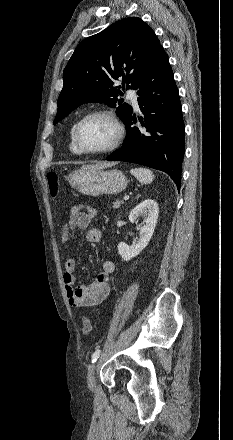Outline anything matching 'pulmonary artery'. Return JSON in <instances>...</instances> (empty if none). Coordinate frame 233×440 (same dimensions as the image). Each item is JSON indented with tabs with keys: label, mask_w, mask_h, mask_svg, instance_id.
<instances>
[{
	"label": "pulmonary artery",
	"mask_w": 233,
	"mask_h": 440,
	"mask_svg": "<svg viewBox=\"0 0 233 440\" xmlns=\"http://www.w3.org/2000/svg\"><path fill=\"white\" fill-rule=\"evenodd\" d=\"M127 97L132 101V103L134 104V106L136 107V108H138V101H137V93H136V91L135 90H133V89H130V90H128V92H127Z\"/></svg>",
	"instance_id": "1"
}]
</instances>
